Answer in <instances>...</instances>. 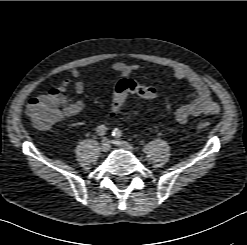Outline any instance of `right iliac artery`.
I'll list each match as a JSON object with an SVG mask.
<instances>
[{
    "label": "right iliac artery",
    "instance_id": "obj_1",
    "mask_svg": "<svg viewBox=\"0 0 247 245\" xmlns=\"http://www.w3.org/2000/svg\"><path fill=\"white\" fill-rule=\"evenodd\" d=\"M106 131H107V127L105 125H100V126L97 127V134L99 136L105 135Z\"/></svg>",
    "mask_w": 247,
    "mask_h": 245
}]
</instances>
